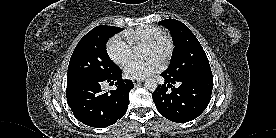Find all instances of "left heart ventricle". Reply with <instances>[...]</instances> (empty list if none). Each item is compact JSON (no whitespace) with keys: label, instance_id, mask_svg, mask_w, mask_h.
Instances as JSON below:
<instances>
[{"label":"left heart ventricle","instance_id":"obj_1","mask_svg":"<svg viewBox=\"0 0 276 138\" xmlns=\"http://www.w3.org/2000/svg\"><path fill=\"white\" fill-rule=\"evenodd\" d=\"M162 53V49H156L150 46L146 47V57H156L158 59H161Z\"/></svg>","mask_w":276,"mask_h":138}]
</instances>
